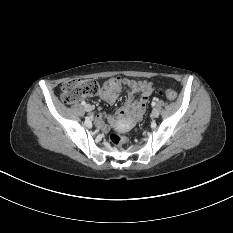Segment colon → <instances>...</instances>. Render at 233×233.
Returning <instances> with one entry per match:
<instances>
[{
	"label": "colon",
	"instance_id": "obj_1",
	"mask_svg": "<svg viewBox=\"0 0 233 233\" xmlns=\"http://www.w3.org/2000/svg\"><path fill=\"white\" fill-rule=\"evenodd\" d=\"M99 90V84L94 79H71L65 81L61 86V98L67 103H74L81 97H89L95 95ZM169 100H175L177 98V92L171 88H165L162 90ZM110 141L116 145L120 146L124 143V138L117 134L113 133L110 135Z\"/></svg>",
	"mask_w": 233,
	"mask_h": 233
}]
</instances>
